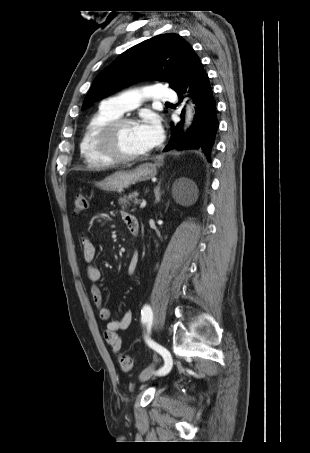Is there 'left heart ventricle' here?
Segmentation results:
<instances>
[{"label": "left heart ventricle", "mask_w": 310, "mask_h": 453, "mask_svg": "<svg viewBox=\"0 0 310 453\" xmlns=\"http://www.w3.org/2000/svg\"><path fill=\"white\" fill-rule=\"evenodd\" d=\"M116 148L119 153L126 156L148 151L138 133V124L127 125L119 131L116 138Z\"/></svg>", "instance_id": "b2bd125f"}]
</instances>
